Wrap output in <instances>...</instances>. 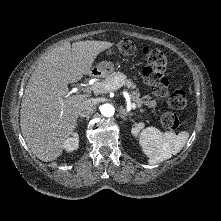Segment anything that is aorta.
Segmentation results:
<instances>
[{
	"label": "aorta",
	"mask_w": 221,
	"mask_h": 221,
	"mask_svg": "<svg viewBox=\"0 0 221 221\" xmlns=\"http://www.w3.org/2000/svg\"><path fill=\"white\" fill-rule=\"evenodd\" d=\"M101 114L105 117H111L114 115L115 109L111 104H103L101 106Z\"/></svg>",
	"instance_id": "762f6f07"
}]
</instances>
